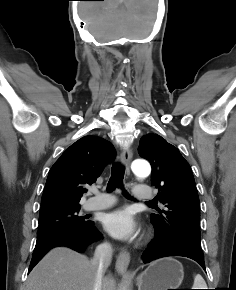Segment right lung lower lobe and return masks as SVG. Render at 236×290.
Listing matches in <instances>:
<instances>
[{
    "label": "right lung lower lobe",
    "mask_w": 236,
    "mask_h": 290,
    "mask_svg": "<svg viewBox=\"0 0 236 290\" xmlns=\"http://www.w3.org/2000/svg\"><path fill=\"white\" fill-rule=\"evenodd\" d=\"M99 234V231L93 226V222H90L83 227L63 229L43 236H37L36 246L28 273L51 248L66 246L78 252H82L89 244L101 238Z\"/></svg>",
    "instance_id": "right-lung-lower-lobe-1"
}]
</instances>
